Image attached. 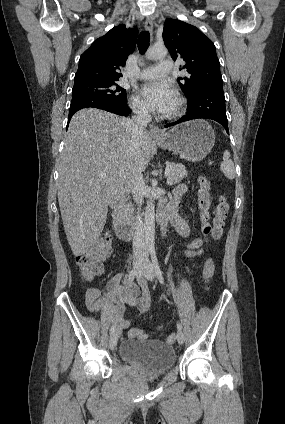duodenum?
<instances>
[{
    "label": "duodenum",
    "instance_id": "obj_1",
    "mask_svg": "<svg viewBox=\"0 0 285 424\" xmlns=\"http://www.w3.org/2000/svg\"><path fill=\"white\" fill-rule=\"evenodd\" d=\"M162 233L168 224L167 217L163 214L158 217ZM112 223L117 237L122 241H130L134 236V226L129 223L125 217L124 207L121 202L114 205L112 211Z\"/></svg>",
    "mask_w": 285,
    "mask_h": 424
}]
</instances>
